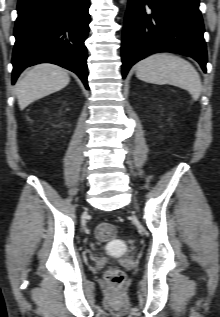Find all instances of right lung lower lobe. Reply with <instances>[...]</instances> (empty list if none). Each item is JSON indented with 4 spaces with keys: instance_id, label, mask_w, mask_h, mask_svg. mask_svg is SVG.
<instances>
[{
    "instance_id": "right-lung-lower-lobe-1",
    "label": "right lung lower lobe",
    "mask_w": 220,
    "mask_h": 317,
    "mask_svg": "<svg viewBox=\"0 0 220 317\" xmlns=\"http://www.w3.org/2000/svg\"><path fill=\"white\" fill-rule=\"evenodd\" d=\"M89 0H19L13 51L14 84L28 66L53 63L76 73L87 82Z\"/></svg>"
}]
</instances>
